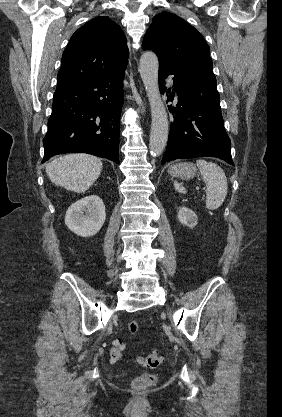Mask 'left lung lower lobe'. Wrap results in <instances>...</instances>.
Segmentation results:
<instances>
[{
  "label": "left lung lower lobe",
  "instance_id": "0a47b994",
  "mask_svg": "<svg viewBox=\"0 0 282 417\" xmlns=\"http://www.w3.org/2000/svg\"><path fill=\"white\" fill-rule=\"evenodd\" d=\"M174 75L177 107L169 133L162 164L176 159L218 157L234 165L231 158V142L224 128L220 96L216 89L213 71L204 69L170 70L159 67V85L165 92L164 78ZM173 101L174 94L167 96Z\"/></svg>",
  "mask_w": 282,
  "mask_h": 417
}]
</instances>
